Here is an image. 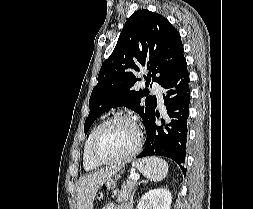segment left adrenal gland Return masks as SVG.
I'll list each match as a JSON object with an SVG mask.
<instances>
[{
  "instance_id": "left-adrenal-gland-1",
  "label": "left adrenal gland",
  "mask_w": 253,
  "mask_h": 209,
  "mask_svg": "<svg viewBox=\"0 0 253 209\" xmlns=\"http://www.w3.org/2000/svg\"><path fill=\"white\" fill-rule=\"evenodd\" d=\"M141 183H146V181L143 180L139 184H141ZM133 203H134V201H133V196H132L131 199H130V209H133Z\"/></svg>"
}]
</instances>
